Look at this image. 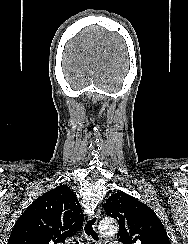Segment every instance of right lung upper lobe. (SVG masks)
<instances>
[{"instance_id": "1", "label": "right lung upper lobe", "mask_w": 188, "mask_h": 244, "mask_svg": "<svg viewBox=\"0 0 188 244\" xmlns=\"http://www.w3.org/2000/svg\"><path fill=\"white\" fill-rule=\"evenodd\" d=\"M78 199L67 185L36 199L15 223L8 244H57L83 226Z\"/></svg>"}]
</instances>
